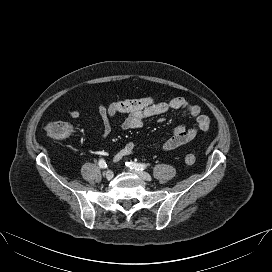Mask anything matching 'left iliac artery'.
I'll return each instance as SVG.
<instances>
[{
    "mask_svg": "<svg viewBox=\"0 0 272 272\" xmlns=\"http://www.w3.org/2000/svg\"><path fill=\"white\" fill-rule=\"evenodd\" d=\"M126 166L130 167V169L140 170L143 171L147 165L143 163H136V162H126Z\"/></svg>",
    "mask_w": 272,
    "mask_h": 272,
    "instance_id": "1",
    "label": "left iliac artery"
}]
</instances>
